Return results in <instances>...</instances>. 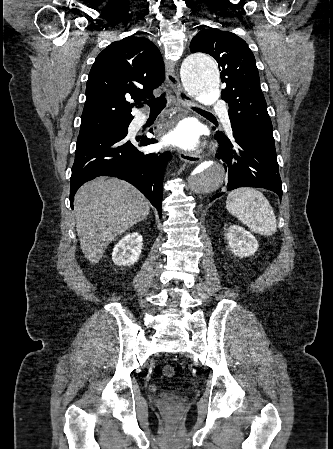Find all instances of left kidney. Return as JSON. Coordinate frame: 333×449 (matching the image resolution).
Segmentation results:
<instances>
[{"instance_id":"5707ae66","label":"left kidney","mask_w":333,"mask_h":449,"mask_svg":"<svg viewBox=\"0 0 333 449\" xmlns=\"http://www.w3.org/2000/svg\"><path fill=\"white\" fill-rule=\"evenodd\" d=\"M226 239L233 253L239 257L253 255L258 249L256 238L239 225L229 226Z\"/></svg>"}]
</instances>
